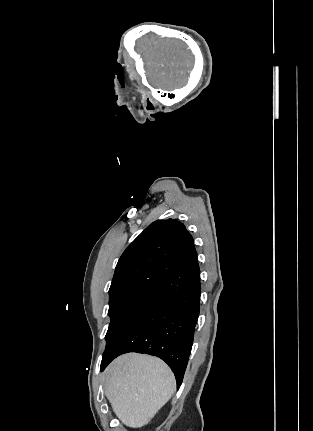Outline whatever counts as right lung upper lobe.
<instances>
[{"label":"right lung upper lobe","instance_id":"1","mask_svg":"<svg viewBox=\"0 0 313 431\" xmlns=\"http://www.w3.org/2000/svg\"><path fill=\"white\" fill-rule=\"evenodd\" d=\"M195 252L194 241L176 219L149 225L123 252L109 296L152 292Z\"/></svg>","mask_w":313,"mask_h":431}]
</instances>
